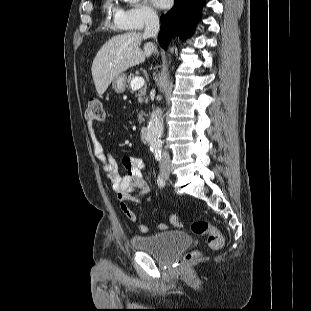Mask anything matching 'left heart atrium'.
<instances>
[{
    "label": "left heart atrium",
    "mask_w": 311,
    "mask_h": 311,
    "mask_svg": "<svg viewBox=\"0 0 311 311\" xmlns=\"http://www.w3.org/2000/svg\"><path fill=\"white\" fill-rule=\"evenodd\" d=\"M158 8H166L170 4V0H151Z\"/></svg>",
    "instance_id": "1"
}]
</instances>
